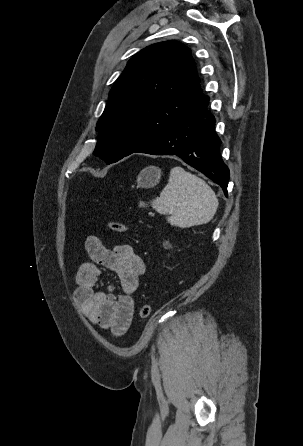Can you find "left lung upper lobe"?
I'll list each match as a JSON object with an SVG mask.
<instances>
[{
    "label": "left lung upper lobe",
    "instance_id": "obj_1",
    "mask_svg": "<svg viewBox=\"0 0 303 446\" xmlns=\"http://www.w3.org/2000/svg\"><path fill=\"white\" fill-rule=\"evenodd\" d=\"M191 50L171 40L128 62L97 122L94 154L110 164L167 134L203 94Z\"/></svg>",
    "mask_w": 303,
    "mask_h": 446
}]
</instances>
